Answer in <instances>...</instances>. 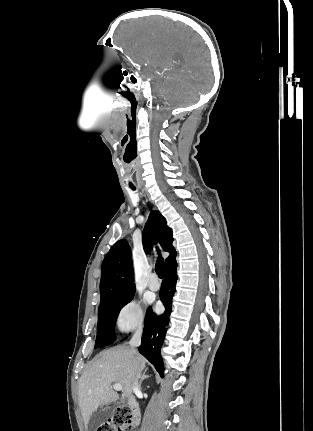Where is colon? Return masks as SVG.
Segmentation results:
<instances>
[{
	"label": "colon",
	"instance_id": "colon-1",
	"mask_svg": "<svg viewBox=\"0 0 313 431\" xmlns=\"http://www.w3.org/2000/svg\"><path fill=\"white\" fill-rule=\"evenodd\" d=\"M134 417L130 407L121 405L116 407L111 416L97 431H133Z\"/></svg>",
	"mask_w": 313,
	"mask_h": 431
}]
</instances>
